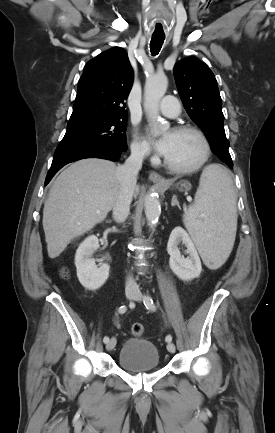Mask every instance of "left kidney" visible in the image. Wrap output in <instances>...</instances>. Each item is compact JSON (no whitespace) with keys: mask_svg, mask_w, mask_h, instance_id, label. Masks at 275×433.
Segmentation results:
<instances>
[{"mask_svg":"<svg viewBox=\"0 0 275 433\" xmlns=\"http://www.w3.org/2000/svg\"><path fill=\"white\" fill-rule=\"evenodd\" d=\"M187 247L189 257L184 258L178 248L180 243ZM167 252L170 255V268L181 280L188 281L198 277L202 271L201 261L195 245L188 233L180 226L175 227L169 237Z\"/></svg>","mask_w":275,"mask_h":433,"instance_id":"left-kidney-1","label":"left kidney"}]
</instances>
